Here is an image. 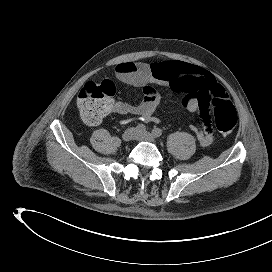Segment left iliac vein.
Returning <instances> with one entry per match:
<instances>
[{
    "instance_id": "obj_1",
    "label": "left iliac vein",
    "mask_w": 272,
    "mask_h": 272,
    "mask_svg": "<svg viewBox=\"0 0 272 272\" xmlns=\"http://www.w3.org/2000/svg\"><path fill=\"white\" fill-rule=\"evenodd\" d=\"M137 140H143L148 142H155V136L149 132H138L136 136Z\"/></svg>"
}]
</instances>
